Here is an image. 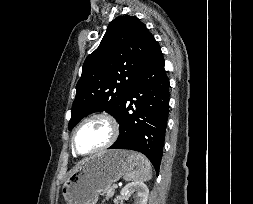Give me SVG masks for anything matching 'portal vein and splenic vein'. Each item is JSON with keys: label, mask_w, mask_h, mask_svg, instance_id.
Masks as SVG:
<instances>
[{"label": "portal vein and splenic vein", "mask_w": 253, "mask_h": 204, "mask_svg": "<svg viewBox=\"0 0 253 204\" xmlns=\"http://www.w3.org/2000/svg\"><path fill=\"white\" fill-rule=\"evenodd\" d=\"M113 187H114V188H117V187H118V185H117V184H114V185H113Z\"/></svg>", "instance_id": "obj_1"}]
</instances>
